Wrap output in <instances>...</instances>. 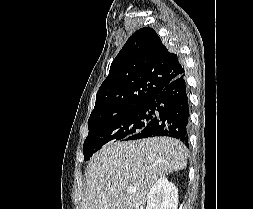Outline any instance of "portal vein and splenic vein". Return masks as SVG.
<instances>
[{
	"label": "portal vein and splenic vein",
	"mask_w": 253,
	"mask_h": 209,
	"mask_svg": "<svg viewBox=\"0 0 253 209\" xmlns=\"http://www.w3.org/2000/svg\"><path fill=\"white\" fill-rule=\"evenodd\" d=\"M126 192H127L128 194H131V193H134V192H135V189L132 188V187H129V188H127Z\"/></svg>",
	"instance_id": "1"
}]
</instances>
